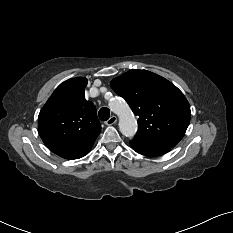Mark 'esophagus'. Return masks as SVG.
Wrapping results in <instances>:
<instances>
[{
  "label": "esophagus",
  "instance_id": "34e87169",
  "mask_svg": "<svg viewBox=\"0 0 233 233\" xmlns=\"http://www.w3.org/2000/svg\"><path fill=\"white\" fill-rule=\"evenodd\" d=\"M117 122V117L115 115H112L106 122V125H113Z\"/></svg>",
  "mask_w": 233,
  "mask_h": 233
}]
</instances>
